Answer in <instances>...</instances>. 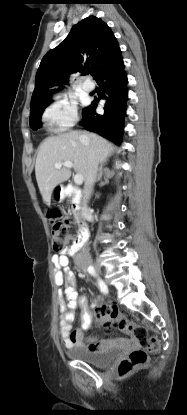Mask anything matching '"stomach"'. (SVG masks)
I'll list each match as a JSON object with an SVG mask.
<instances>
[{
	"label": "stomach",
	"mask_w": 187,
	"mask_h": 415,
	"mask_svg": "<svg viewBox=\"0 0 187 415\" xmlns=\"http://www.w3.org/2000/svg\"><path fill=\"white\" fill-rule=\"evenodd\" d=\"M53 192H54V196L56 197V198H61L62 196H63V194H64V189H63V187L62 186H56L54 189H53Z\"/></svg>",
	"instance_id": "1"
}]
</instances>
